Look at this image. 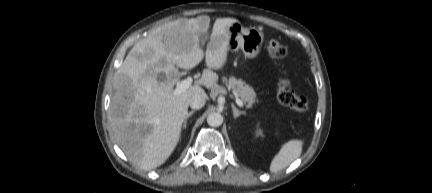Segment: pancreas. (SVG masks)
<instances>
[{
  "instance_id": "obj_1",
  "label": "pancreas",
  "mask_w": 432,
  "mask_h": 193,
  "mask_svg": "<svg viewBox=\"0 0 432 193\" xmlns=\"http://www.w3.org/2000/svg\"><path fill=\"white\" fill-rule=\"evenodd\" d=\"M222 81L229 90H233L235 94L247 104L248 108H251L253 104L258 101L254 89L241 79L230 76L229 78L223 77Z\"/></svg>"
}]
</instances>
